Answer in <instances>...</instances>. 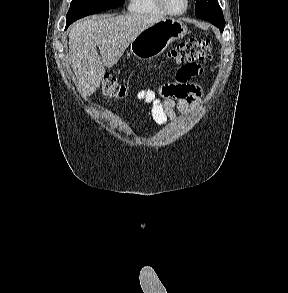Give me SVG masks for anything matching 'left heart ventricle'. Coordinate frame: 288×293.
<instances>
[{
  "label": "left heart ventricle",
  "mask_w": 288,
  "mask_h": 293,
  "mask_svg": "<svg viewBox=\"0 0 288 293\" xmlns=\"http://www.w3.org/2000/svg\"><path fill=\"white\" fill-rule=\"evenodd\" d=\"M165 3L175 12H179L185 7V0H165Z\"/></svg>",
  "instance_id": "left-heart-ventricle-1"
}]
</instances>
